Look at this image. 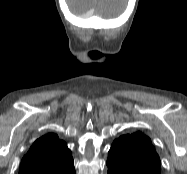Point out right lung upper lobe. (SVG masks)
<instances>
[{"label":"right lung upper lobe","instance_id":"1","mask_svg":"<svg viewBox=\"0 0 187 174\" xmlns=\"http://www.w3.org/2000/svg\"><path fill=\"white\" fill-rule=\"evenodd\" d=\"M74 171L66 143L49 133L37 139L23 157L19 174H70Z\"/></svg>","mask_w":187,"mask_h":174}]
</instances>
